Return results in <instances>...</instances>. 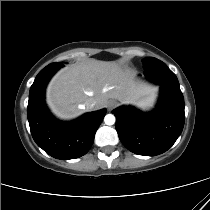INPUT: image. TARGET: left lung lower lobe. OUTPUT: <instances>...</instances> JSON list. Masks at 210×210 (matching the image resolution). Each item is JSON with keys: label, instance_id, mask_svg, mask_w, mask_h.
Returning a JSON list of instances; mask_svg holds the SVG:
<instances>
[{"label": "left lung lower lobe", "instance_id": "1", "mask_svg": "<svg viewBox=\"0 0 210 210\" xmlns=\"http://www.w3.org/2000/svg\"><path fill=\"white\" fill-rule=\"evenodd\" d=\"M144 75L161 86L156 109L148 114L123 106L112 111L120 141L138 155L155 156L167 151L180 136L184 122V98L176 75L160 61L145 68Z\"/></svg>", "mask_w": 210, "mask_h": 210}]
</instances>
